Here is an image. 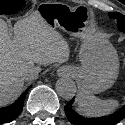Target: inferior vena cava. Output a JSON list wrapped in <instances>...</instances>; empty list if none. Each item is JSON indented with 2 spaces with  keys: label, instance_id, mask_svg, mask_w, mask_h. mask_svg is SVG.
Listing matches in <instances>:
<instances>
[{
  "label": "inferior vena cava",
  "instance_id": "1",
  "mask_svg": "<svg viewBox=\"0 0 125 125\" xmlns=\"http://www.w3.org/2000/svg\"><path fill=\"white\" fill-rule=\"evenodd\" d=\"M37 77H38V71L32 69V70H29V71L25 72V73L23 74V77H22V78H23L25 81H30V80L36 79Z\"/></svg>",
  "mask_w": 125,
  "mask_h": 125
}]
</instances>
